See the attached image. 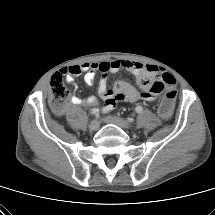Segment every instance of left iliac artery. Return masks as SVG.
<instances>
[{
	"label": "left iliac artery",
	"instance_id": "44dca946",
	"mask_svg": "<svg viewBox=\"0 0 215 215\" xmlns=\"http://www.w3.org/2000/svg\"><path fill=\"white\" fill-rule=\"evenodd\" d=\"M135 111H136L137 113H141V112L143 111L142 106H137V107L135 108ZM128 120H129L130 122L132 121L131 118H129Z\"/></svg>",
	"mask_w": 215,
	"mask_h": 215
}]
</instances>
